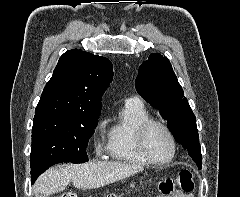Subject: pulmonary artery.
I'll use <instances>...</instances> for the list:
<instances>
[{"mask_svg":"<svg viewBox=\"0 0 240 197\" xmlns=\"http://www.w3.org/2000/svg\"><path fill=\"white\" fill-rule=\"evenodd\" d=\"M126 103H142L138 96H132L125 100Z\"/></svg>","mask_w":240,"mask_h":197,"instance_id":"e3ab8cb5","label":"pulmonary artery"}]
</instances>
